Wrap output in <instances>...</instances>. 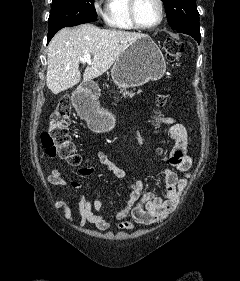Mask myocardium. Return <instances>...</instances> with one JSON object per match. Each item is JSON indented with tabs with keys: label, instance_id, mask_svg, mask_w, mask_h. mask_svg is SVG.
Here are the masks:
<instances>
[{
	"label": "myocardium",
	"instance_id": "myocardium-1",
	"mask_svg": "<svg viewBox=\"0 0 240 281\" xmlns=\"http://www.w3.org/2000/svg\"><path fill=\"white\" fill-rule=\"evenodd\" d=\"M156 1L159 5V11H160L159 19L157 20L156 23H154L152 25H143L139 22L138 17H137L136 9H137L138 0H128L129 18L135 28L141 29V30H152V29L159 27L162 24L164 17H165L164 1L163 0H156Z\"/></svg>",
	"mask_w": 240,
	"mask_h": 281
}]
</instances>
